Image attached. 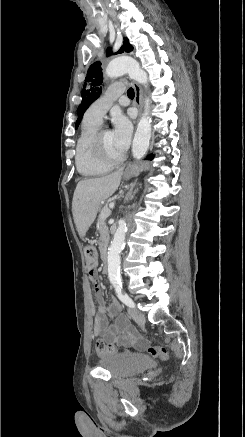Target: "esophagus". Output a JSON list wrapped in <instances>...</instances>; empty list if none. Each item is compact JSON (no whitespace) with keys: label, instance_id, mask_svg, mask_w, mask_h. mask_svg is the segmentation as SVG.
Here are the masks:
<instances>
[{"label":"esophagus","instance_id":"esophagus-1","mask_svg":"<svg viewBox=\"0 0 245 437\" xmlns=\"http://www.w3.org/2000/svg\"><path fill=\"white\" fill-rule=\"evenodd\" d=\"M132 85L135 91L134 104L137 107L138 113L140 115L142 107V89L136 82H132Z\"/></svg>","mask_w":245,"mask_h":437}]
</instances>
